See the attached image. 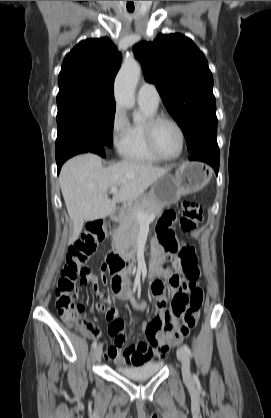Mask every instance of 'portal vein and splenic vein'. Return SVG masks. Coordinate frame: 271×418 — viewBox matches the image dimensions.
Listing matches in <instances>:
<instances>
[{"label":"portal vein and splenic vein","instance_id":"portal-vein-and-splenic-vein-1","mask_svg":"<svg viewBox=\"0 0 271 418\" xmlns=\"http://www.w3.org/2000/svg\"><path fill=\"white\" fill-rule=\"evenodd\" d=\"M118 191V187H112L111 189H110V192L109 193H111V194H114V193H116ZM135 215H136V218H137V220L140 222V223H150L151 221H153L154 220V216H148L147 214H145V213H143V212H141V211H137L136 213H135Z\"/></svg>","mask_w":271,"mask_h":418}]
</instances>
